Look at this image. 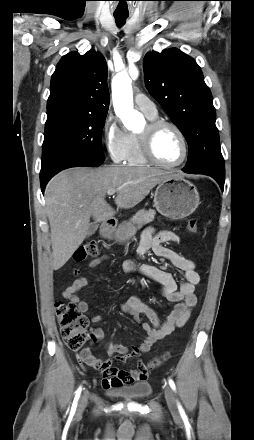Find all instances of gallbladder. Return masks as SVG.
<instances>
[{"label":"gallbladder","mask_w":254,"mask_h":440,"mask_svg":"<svg viewBox=\"0 0 254 440\" xmlns=\"http://www.w3.org/2000/svg\"><path fill=\"white\" fill-rule=\"evenodd\" d=\"M98 227H99V224L97 222L90 223V226H89V229L87 232V236L93 235L97 231Z\"/></svg>","instance_id":"gallbladder-1"}]
</instances>
